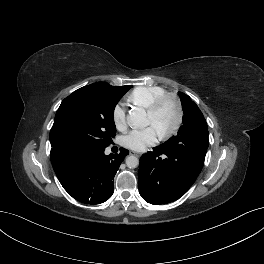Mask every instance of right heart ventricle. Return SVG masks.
Instances as JSON below:
<instances>
[{
    "label": "right heart ventricle",
    "instance_id": "obj_1",
    "mask_svg": "<svg viewBox=\"0 0 264 264\" xmlns=\"http://www.w3.org/2000/svg\"><path fill=\"white\" fill-rule=\"evenodd\" d=\"M166 93L167 91L160 86H139L127 95L126 100L132 105L147 109L154 100Z\"/></svg>",
    "mask_w": 264,
    "mask_h": 264
}]
</instances>
